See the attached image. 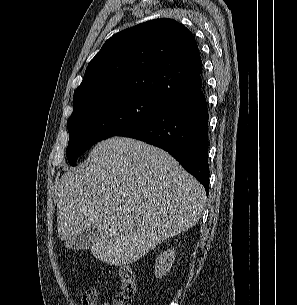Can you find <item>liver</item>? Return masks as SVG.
<instances>
[{"instance_id":"6515ba94","label":"liver","mask_w":297,"mask_h":305,"mask_svg":"<svg viewBox=\"0 0 297 305\" xmlns=\"http://www.w3.org/2000/svg\"><path fill=\"white\" fill-rule=\"evenodd\" d=\"M89 159L58 186V235L67 248L68 239L95 225L100 235L92 255L126 265L201 218L203 186L164 150L115 136L98 143Z\"/></svg>"}]
</instances>
